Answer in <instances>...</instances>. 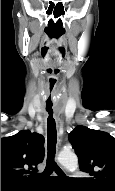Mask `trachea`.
<instances>
[{"label": "trachea", "mask_w": 115, "mask_h": 191, "mask_svg": "<svg viewBox=\"0 0 115 191\" xmlns=\"http://www.w3.org/2000/svg\"><path fill=\"white\" fill-rule=\"evenodd\" d=\"M49 116L47 118V162L46 168L44 173H51L55 171L59 175H64L61 168L57 165L54 160L55 153H56V143H57V131H56V123L55 119L53 118V109L46 108Z\"/></svg>", "instance_id": "3493384b"}]
</instances>
